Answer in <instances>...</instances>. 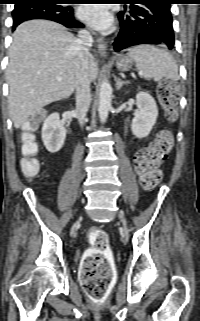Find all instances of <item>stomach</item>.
<instances>
[{"label": "stomach", "mask_w": 200, "mask_h": 321, "mask_svg": "<svg viewBox=\"0 0 200 321\" xmlns=\"http://www.w3.org/2000/svg\"><path fill=\"white\" fill-rule=\"evenodd\" d=\"M133 61L131 58L126 56H120L116 60V66L118 70L126 72L132 68Z\"/></svg>", "instance_id": "stomach-1"}]
</instances>
